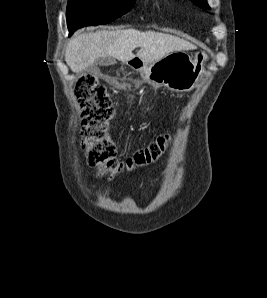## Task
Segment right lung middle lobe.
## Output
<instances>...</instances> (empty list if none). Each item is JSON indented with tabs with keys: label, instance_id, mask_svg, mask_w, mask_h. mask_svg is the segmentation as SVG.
I'll return each mask as SVG.
<instances>
[{
	"label": "right lung middle lobe",
	"instance_id": "right-lung-middle-lobe-1",
	"mask_svg": "<svg viewBox=\"0 0 267 298\" xmlns=\"http://www.w3.org/2000/svg\"><path fill=\"white\" fill-rule=\"evenodd\" d=\"M134 4L135 0H69L66 13L69 32L109 23L126 14Z\"/></svg>",
	"mask_w": 267,
	"mask_h": 298
}]
</instances>
